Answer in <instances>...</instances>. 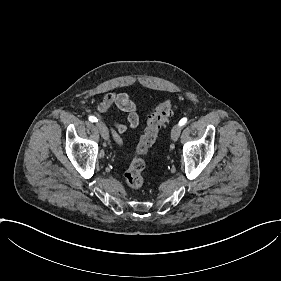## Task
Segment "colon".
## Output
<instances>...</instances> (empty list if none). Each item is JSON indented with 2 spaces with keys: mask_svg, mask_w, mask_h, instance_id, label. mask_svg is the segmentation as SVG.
<instances>
[{
  "mask_svg": "<svg viewBox=\"0 0 281 281\" xmlns=\"http://www.w3.org/2000/svg\"><path fill=\"white\" fill-rule=\"evenodd\" d=\"M173 107V100L165 98L150 113L141 133L135 155L123 175V181L129 188L137 189L143 185L145 159L157 142L161 128L170 117Z\"/></svg>",
  "mask_w": 281,
  "mask_h": 281,
  "instance_id": "colon-1",
  "label": "colon"
}]
</instances>
